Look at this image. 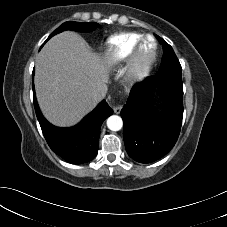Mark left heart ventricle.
Here are the masks:
<instances>
[{
    "label": "left heart ventricle",
    "mask_w": 227,
    "mask_h": 227,
    "mask_svg": "<svg viewBox=\"0 0 227 227\" xmlns=\"http://www.w3.org/2000/svg\"><path fill=\"white\" fill-rule=\"evenodd\" d=\"M152 49V44L151 42H147L146 45L143 48V52H142V59L146 60L148 58V56L150 55Z\"/></svg>",
    "instance_id": "b2bd125f"
}]
</instances>
